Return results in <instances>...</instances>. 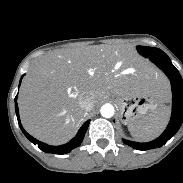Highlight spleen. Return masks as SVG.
I'll return each mask as SVG.
<instances>
[{"mask_svg":"<svg viewBox=\"0 0 183 183\" xmlns=\"http://www.w3.org/2000/svg\"><path fill=\"white\" fill-rule=\"evenodd\" d=\"M170 115L168 106L160 105L152 113L144 116L136 124H129L131 135L139 141H149L158 137L165 129Z\"/></svg>","mask_w":183,"mask_h":183,"instance_id":"obj_1","label":"spleen"}]
</instances>
